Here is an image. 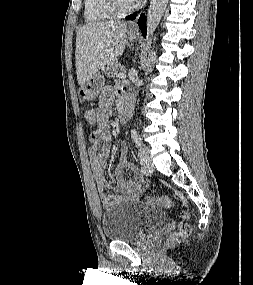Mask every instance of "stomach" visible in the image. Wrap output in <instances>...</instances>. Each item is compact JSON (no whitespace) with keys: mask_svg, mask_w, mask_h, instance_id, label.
I'll use <instances>...</instances> for the list:
<instances>
[{"mask_svg":"<svg viewBox=\"0 0 253 285\" xmlns=\"http://www.w3.org/2000/svg\"><path fill=\"white\" fill-rule=\"evenodd\" d=\"M129 39L135 41L138 38L136 33L128 32ZM104 85V79L101 75L95 74L90 78L85 85L81 86L78 94L83 101L94 100Z\"/></svg>","mask_w":253,"mask_h":285,"instance_id":"obj_1","label":"stomach"}]
</instances>
